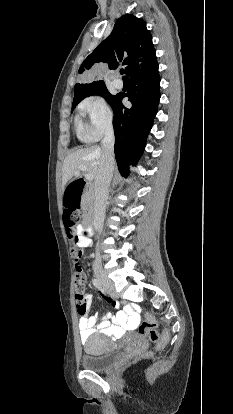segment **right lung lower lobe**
I'll return each mask as SVG.
<instances>
[{"label":"right lung lower lobe","instance_id":"1","mask_svg":"<svg viewBox=\"0 0 233 414\" xmlns=\"http://www.w3.org/2000/svg\"><path fill=\"white\" fill-rule=\"evenodd\" d=\"M130 91L117 94L111 103L114 112L115 158L120 173L128 175L130 165L141 156L148 133L152 127L160 99L158 66L148 73L129 78ZM128 97L132 103L125 108L121 100Z\"/></svg>","mask_w":233,"mask_h":414}]
</instances>
